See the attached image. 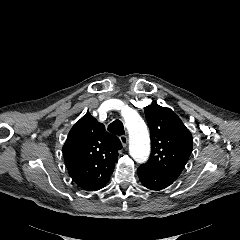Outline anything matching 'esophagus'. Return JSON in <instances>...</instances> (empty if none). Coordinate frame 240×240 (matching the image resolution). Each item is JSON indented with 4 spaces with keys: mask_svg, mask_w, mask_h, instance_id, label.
Wrapping results in <instances>:
<instances>
[{
    "mask_svg": "<svg viewBox=\"0 0 240 240\" xmlns=\"http://www.w3.org/2000/svg\"><path fill=\"white\" fill-rule=\"evenodd\" d=\"M120 141H121L123 147H126L128 144V137L126 135H123L120 137Z\"/></svg>",
    "mask_w": 240,
    "mask_h": 240,
    "instance_id": "1",
    "label": "esophagus"
}]
</instances>
